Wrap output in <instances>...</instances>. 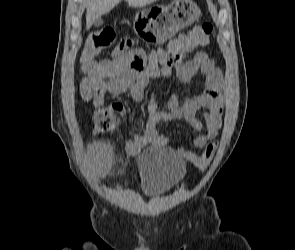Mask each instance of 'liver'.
I'll use <instances>...</instances> for the list:
<instances>
[{
  "label": "liver",
  "mask_w": 295,
  "mask_h": 250,
  "mask_svg": "<svg viewBox=\"0 0 295 250\" xmlns=\"http://www.w3.org/2000/svg\"><path fill=\"white\" fill-rule=\"evenodd\" d=\"M135 8L144 7L157 0H125ZM121 0H88L86 11V29H89L94 21L104 14L109 13Z\"/></svg>",
  "instance_id": "obj_1"
}]
</instances>
